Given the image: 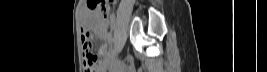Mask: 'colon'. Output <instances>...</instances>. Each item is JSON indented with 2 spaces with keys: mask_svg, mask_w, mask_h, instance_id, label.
Segmentation results:
<instances>
[{
  "mask_svg": "<svg viewBox=\"0 0 267 72\" xmlns=\"http://www.w3.org/2000/svg\"><path fill=\"white\" fill-rule=\"evenodd\" d=\"M111 2V0H87V6L92 12H96L101 14L104 18H107L110 13ZM90 48V41H85L82 46L83 60H85V63L83 62L85 72H94L98 62V56L93 54Z\"/></svg>",
  "mask_w": 267,
  "mask_h": 72,
  "instance_id": "colon-1",
  "label": "colon"
}]
</instances>
